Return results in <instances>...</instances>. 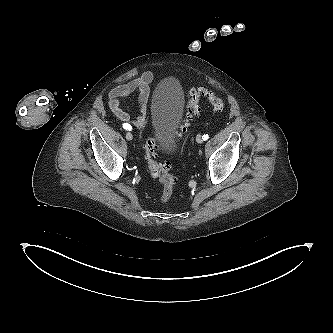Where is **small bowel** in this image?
I'll use <instances>...</instances> for the list:
<instances>
[{"mask_svg": "<svg viewBox=\"0 0 333 333\" xmlns=\"http://www.w3.org/2000/svg\"><path fill=\"white\" fill-rule=\"evenodd\" d=\"M154 75L150 71L144 72L140 77L113 88L108 94V106L114 117L122 123H131L135 127L141 128L145 125L148 112L147 103L150 94V84ZM136 94L139 104V114L135 118L121 108L122 100Z\"/></svg>", "mask_w": 333, "mask_h": 333, "instance_id": "small-bowel-1", "label": "small bowel"}]
</instances>
